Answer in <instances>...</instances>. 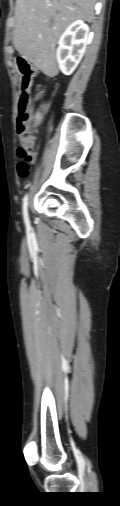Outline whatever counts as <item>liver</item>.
I'll list each match as a JSON object with an SVG mask.
<instances>
[{"label":"liver","instance_id":"1","mask_svg":"<svg viewBox=\"0 0 120 506\" xmlns=\"http://www.w3.org/2000/svg\"><path fill=\"white\" fill-rule=\"evenodd\" d=\"M96 0H16L13 44L47 75L58 73L56 45L73 21L92 22Z\"/></svg>","mask_w":120,"mask_h":506}]
</instances>
